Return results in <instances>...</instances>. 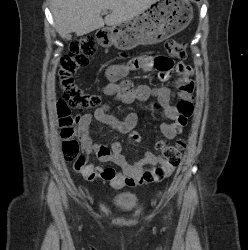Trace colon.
<instances>
[{"instance_id":"colon-1","label":"colon","mask_w":248,"mask_h":250,"mask_svg":"<svg viewBox=\"0 0 248 250\" xmlns=\"http://www.w3.org/2000/svg\"><path fill=\"white\" fill-rule=\"evenodd\" d=\"M96 42L93 37L84 36L74 40L69 52L64 55L59 63L58 79L62 90V99L58 102L57 113L59 117L60 136L62 138V151L64 159L74 162L79 167L89 165L87 156L82 153L76 138L75 126L78 118L72 114L73 109L86 111L97 109L101 104L98 94L89 92L81 87L74 79L75 74L86 67L91 61L95 52ZM165 49L168 54L177 59L186 57V46L177 40H167ZM192 108H186L188 115ZM136 137H140L135 133ZM157 149L161 152L162 158L171 168H176L181 160V154L185 148V142L178 140L175 144L166 141H158ZM168 169L157 167L154 170H146V179L159 180L167 173Z\"/></svg>"}]
</instances>
